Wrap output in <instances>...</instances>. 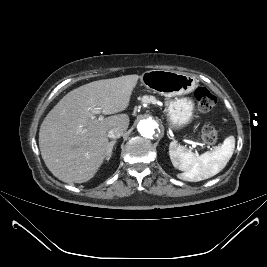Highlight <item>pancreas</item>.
I'll use <instances>...</instances> for the list:
<instances>
[{"label": "pancreas", "instance_id": "cf45deb5", "mask_svg": "<svg viewBox=\"0 0 267 267\" xmlns=\"http://www.w3.org/2000/svg\"><path fill=\"white\" fill-rule=\"evenodd\" d=\"M140 100L143 103H152V104H156L157 103L156 98L153 97V96H143L142 98H140Z\"/></svg>", "mask_w": 267, "mask_h": 267}]
</instances>
